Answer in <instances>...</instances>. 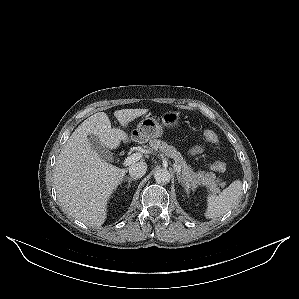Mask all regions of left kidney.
<instances>
[{
	"instance_id": "5707ae66",
	"label": "left kidney",
	"mask_w": 299,
	"mask_h": 299,
	"mask_svg": "<svg viewBox=\"0 0 299 299\" xmlns=\"http://www.w3.org/2000/svg\"><path fill=\"white\" fill-rule=\"evenodd\" d=\"M184 188H185V190H186V193L189 194V192H190V188H191V184H189L188 182H186V183L184 184Z\"/></svg>"
}]
</instances>
